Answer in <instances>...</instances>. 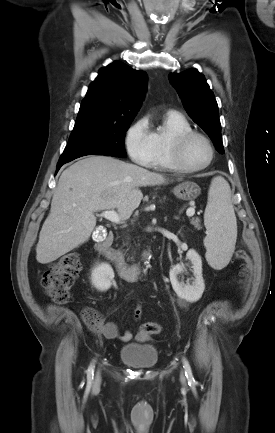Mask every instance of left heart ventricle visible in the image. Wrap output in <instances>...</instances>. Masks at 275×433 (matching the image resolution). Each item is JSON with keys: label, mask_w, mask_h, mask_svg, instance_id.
Instances as JSON below:
<instances>
[{"label": "left heart ventricle", "mask_w": 275, "mask_h": 433, "mask_svg": "<svg viewBox=\"0 0 275 433\" xmlns=\"http://www.w3.org/2000/svg\"><path fill=\"white\" fill-rule=\"evenodd\" d=\"M210 158V150L201 138H194L186 145L184 160L190 166H201Z\"/></svg>", "instance_id": "b2bd125f"}]
</instances>
